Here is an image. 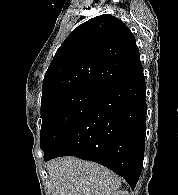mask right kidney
Instances as JSON below:
<instances>
[{
	"mask_svg": "<svg viewBox=\"0 0 178 195\" xmlns=\"http://www.w3.org/2000/svg\"><path fill=\"white\" fill-rule=\"evenodd\" d=\"M112 195H129L127 191L119 190L114 192Z\"/></svg>",
	"mask_w": 178,
	"mask_h": 195,
	"instance_id": "1",
	"label": "right kidney"
}]
</instances>
